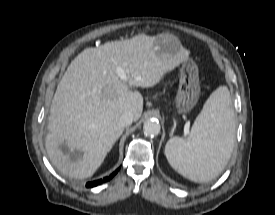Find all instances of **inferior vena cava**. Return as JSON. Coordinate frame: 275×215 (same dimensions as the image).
Returning a JSON list of instances; mask_svg holds the SVG:
<instances>
[{"label": "inferior vena cava", "instance_id": "obj_1", "mask_svg": "<svg viewBox=\"0 0 275 215\" xmlns=\"http://www.w3.org/2000/svg\"><path fill=\"white\" fill-rule=\"evenodd\" d=\"M133 122V115L131 112H124L117 121L118 126L127 127Z\"/></svg>", "mask_w": 275, "mask_h": 215}]
</instances>
